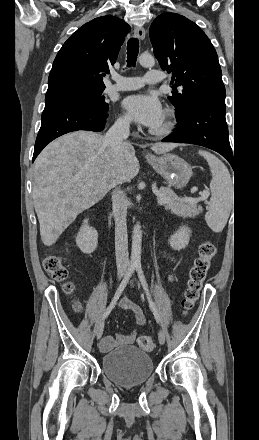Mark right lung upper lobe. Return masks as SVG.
Listing matches in <instances>:
<instances>
[{
    "instance_id": "1",
    "label": "right lung upper lobe",
    "mask_w": 259,
    "mask_h": 440,
    "mask_svg": "<svg viewBox=\"0 0 259 440\" xmlns=\"http://www.w3.org/2000/svg\"><path fill=\"white\" fill-rule=\"evenodd\" d=\"M129 30L114 16L98 17L80 27L59 50L46 94L75 87L105 88L102 76L114 65Z\"/></svg>"
}]
</instances>
